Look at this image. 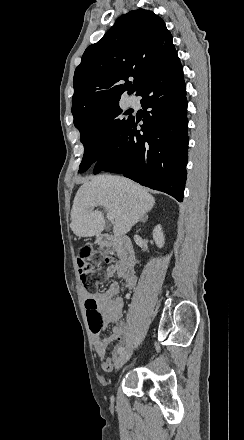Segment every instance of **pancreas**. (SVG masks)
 Instances as JSON below:
<instances>
[{
	"instance_id": "1",
	"label": "pancreas",
	"mask_w": 244,
	"mask_h": 440,
	"mask_svg": "<svg viewBox=\"0 0 244 440\" xmlns=\"http://www.w3.org/2000/svg\"><path fill=\"white\" fill-rule=\"evenodd\" d=\"M114 252H117L116 248H115Z\"/></svg>"
}]
</instances>
